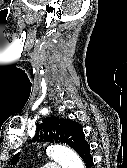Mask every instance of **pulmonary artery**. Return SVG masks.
I'll use <instances>...</instances> for the list:
<instances>
[{
	"label": "pulmonary artery",
	"instance_id": "1",
	"mask_svg": "<svg viewBox=\"0 0 127 168\" xmlns=\"http://www.w3.org/2000/svg\"><path fill=\"white\" fill-rule=\"evenodd\" d=\"M41 168H61V165L58 163H49V164L44 165Z\"/></svg>",
	"mask_w": 127,
	"mask_h": 168
}]
</instances>
